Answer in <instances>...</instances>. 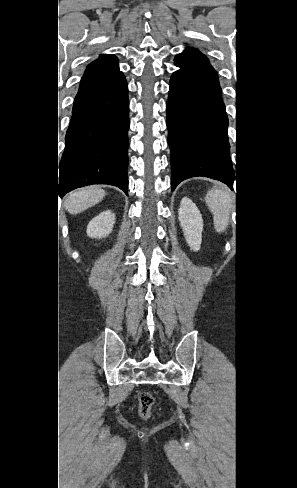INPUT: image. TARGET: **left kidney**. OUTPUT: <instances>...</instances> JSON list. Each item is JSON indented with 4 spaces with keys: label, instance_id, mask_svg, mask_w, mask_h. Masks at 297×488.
Here are the masks:
<instances>
[{
    "label": "left kidney",
    "instance_id": "obj_1",
    "mask_svg": "<svg viewBox=\"0 0 297 488\" xmlns=\"http://www.w3.org/2000/svg\"><path fill=\"white\" fill-rule=\"evenodd\" d=\"M178 214L186 242L190 246L191 250H199L203 230V220L199 209L192 202V200L184 197L181 200Z\"/></svg>",
    "mask_w": 297,
    "mask_h": 488
}]
</instances>
